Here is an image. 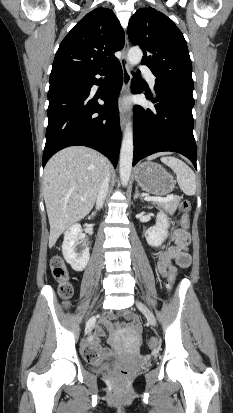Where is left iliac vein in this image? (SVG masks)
<instances>
[{"instance_id":"obj_1","label":"left iliac vein","mask_w":233,"mask_h":413,"mask_svg":"<svg viewBox=\"0 0 233 413\" xmlns=\"http://www.w3.org/2000/svg\"><path fill=\"white\" fill-rule=\"evenodd\" d=\"M136 305H137L138 309L145 315V317L147 318L150 325L152 327H155L156 326V319H155L152 311L140 301H137Z\"/></svg>"}]
</instances>
